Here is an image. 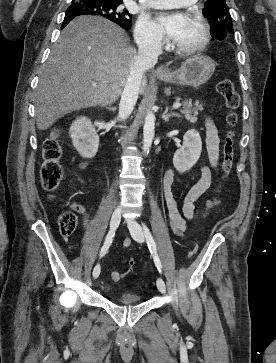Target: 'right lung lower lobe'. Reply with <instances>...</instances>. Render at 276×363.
Returning <instances> with one entry per match:
<instances>
[{
  "label": "right lung lower lobe",
  "mask_w": 276,
  "mask_h": 363,
  "mask_svg": "<svg viewBox=\"0 0 276 363\" xmlns=\"http://www.w3.org/2000/svg\"><path fill=\"white\" fill-rule=\"evenodd\" d=\"M79 15H86L85 13H77V14H70V15H65L63 24L61 28H64L74 17L79 16Z\"/></svg>",
  "instance_id": "obj_1"
}]
</instances>
